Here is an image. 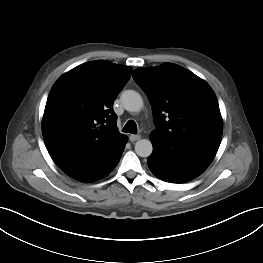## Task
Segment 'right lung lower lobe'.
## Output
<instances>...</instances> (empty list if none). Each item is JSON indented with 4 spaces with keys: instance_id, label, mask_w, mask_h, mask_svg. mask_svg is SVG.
Segmentation results:
<instances>
[{
    "instance_id": "obj_1",
    "label": "right lung lower lobe",
    "mask_w": 263,
    "mask_h": 263,
    "mask_svg": "<svg viewBox=\"0 0 263 263\" xmlns=\"http://www.w3.org/2000/svg\"><path fill=\"white\" fill-rule=\"evenodd\" d=\"M127 139L124 140L123 144L119 149L113 152L108 157L85 164L83 166L64 171L70 177L82 181V182H93L107 176L118 164L121 155L124 151Z\"/></svg>"
}]
</instances>
